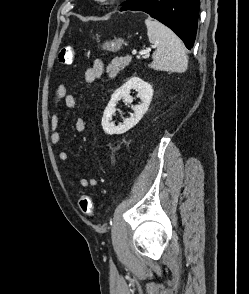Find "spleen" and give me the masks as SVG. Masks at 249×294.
Wrapping results in <instances>:
<instances>
[{
	"label": "spleen",
	"instance_id": "obj_1",
	"mask_svg": "<svg viewBox=\"0 0 249 294\" xmlns=\"http://www.w3.org/2000/svg\"><path fill=\"white\" fill-rule=\"evenodd\" d=\"M149 42L155 48L153 62L149 67L157 71L183 73L187 69L188 59L181 40L175 33L157 20H145Z\"/></svg>",
	"mask_w": 249,
	"mask_h": 294
}]
</instances>
